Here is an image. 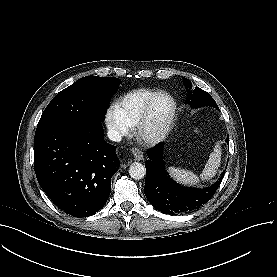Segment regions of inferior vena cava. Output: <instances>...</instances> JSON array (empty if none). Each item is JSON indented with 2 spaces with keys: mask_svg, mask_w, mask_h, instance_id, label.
<instances>
[{
  "mask_svg": "<svg viewBox=\"0 0 277 277\" xmlns=\"http://www.w3.org/2000/svg\"><path fill=\"white\" fill-rule=\"evenodd\" d=\"M107 136L111 141L114 142H120L122 139L120 132L113 128L108 130Z\"/></svg>",
  "mask_w": 277,
  "mask_h": 277,
  "instance_id": "602c4592",
  "label": "inferior vena cava"
}]
</instances>
